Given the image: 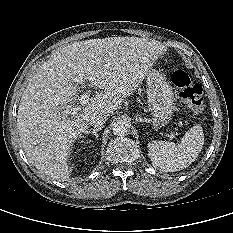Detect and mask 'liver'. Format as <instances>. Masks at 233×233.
<instances>
[{
	"label": "liver",
	"instance_id": "6515ba94",
	"mask_svg": "<svg viewBox=\"0 0 233 233\" xmlns=\"http://www.w3.org/2000/svg\"><path fill=\"white\" fill-rule=\"evenodd\" d=\"M165 52L159 42L138 37L90 39L66 45L51 55L23 92L17 127L23 150L42 175L70 178L68 154L88 129V116L114 113L145 79ZM81 75L101 90L76 114L62 109L79 92L73 79Z\"/></svg>",
	"mask_w": 233,
	"mask_h": 233
}]
</instances>
